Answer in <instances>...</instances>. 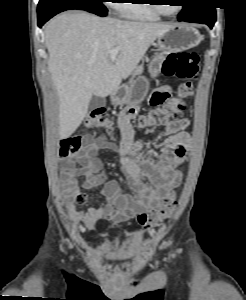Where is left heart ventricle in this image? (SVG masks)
I'll list each match as a JSON object with an SVG mask.
<instances>
[{
	"label": "left heart ventricle",
	"mask_w": 246,
	"mask_h": 300,
	"mask_svg": "<svg viewBox=\"0 0 246 300\" xmlns=\"http://www.w3.org/2000/svg\"><path fill=\"white\" fill-rule=\"evenodd\" d=\"M166 2L173 3L174 1L166 0ZM162 7H163L164 11H166L169 14H172L178 9L179 6H177L175 4H170V5H164Z\"/></svg>",
	"instance_id": "1"
}]
</instances>
